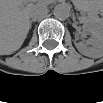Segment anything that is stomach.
<instances>
[{"instance_id": "obj_1", "label": "stomach", "mask_w": 103, "mask_h": 103, "mask_svg": "<svg viewBox=\"0 0 103 103\" xmlns=\"http://www.w3.org/2000/svg\"><path fill=\"white\" fill-rule=\"evenodd\" d=\"M78 6H79L82 10L91 11L90 4H89L88 2H80V3L78 4Z\"/></svg>"}]
</instances>
